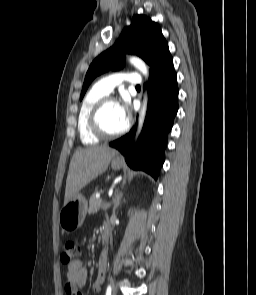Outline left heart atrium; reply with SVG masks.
<instances>
[{
    "label": "left heart atrium",
    "mask_w": 256,
    "mask_h": 295,
    "mask_svg": "<svg viewBox=\"0 0 256 295\" xmlns=\"http://www.w3.org/2000/svg\"><path fill=\"white\" fill-rule=\"evenodd\" d=\"M117 108L119 111L120 116L127 122L128 115H129V100L126 96L123 97V99L116 103Z\"/></svg>",
    "instance_id": "1"
}]
</instances>
